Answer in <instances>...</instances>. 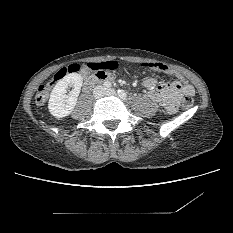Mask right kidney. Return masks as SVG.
Listing matches in <instances>:
<instances>
[{
	"label": "right kidney",
	"mask_w": 233,
	"mask_h": 233,
	"mask_svg": "<svg viewBox=\"0 0 233 233\" xmlns=\"http://www.w3.org/2000/svg\"><path fill=\"white\" fill-rule=\"evenodd\" d=\"M83 78L78 73L65 75L53 88L48 103V109L55 118L68 116L74 109L81 91ZM72 88L69 94L67 90Z\"/></svg>",
	"instance_id": "right-kidney-1"
}]
</instances>
